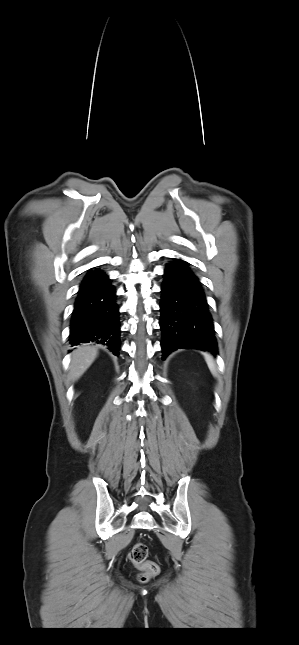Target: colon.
Returning a JSON list of instances; mask_svg holds the SVG:
<instances>
[{"instance_id":"obj_1","label":"colon","mask_w":299,"mask_h":645,"mask_svg":"<svg viewBox=\"0 0 299 645\" xmlns=\"http://www.w3.org/2000/svg\"><path fill=\"white\" fill-rule=\"evenodd\" d=\"M148 548L143 542H137L129 552L131 562L141 571L139 580L146 582L159 573V566L147 559Z\"/></svg>"}]
</instances>
